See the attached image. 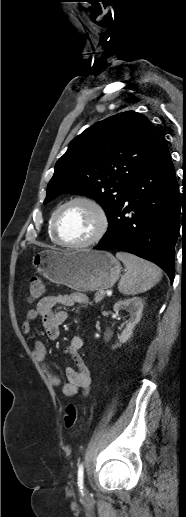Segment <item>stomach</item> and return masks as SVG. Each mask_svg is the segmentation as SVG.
<instances>
[{
	"label": "stomach",
	"mask_w": 186,
	"mask_h": 517,
	"mask_svg": "<svg viewBox=\"0 0 186 517\" xmlns=\"http://www.w3.org/2000/svg\"><path fill=\"white\" fill-rule=\"evenodd\" d=\"M32 263L51 282L79 292L110 288L121 272L119 261L111 253L90 249L45 250L35 254Z\"/></svg>",
	"instance_id": "stomach-1"
}]
</instances>
